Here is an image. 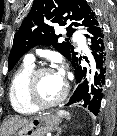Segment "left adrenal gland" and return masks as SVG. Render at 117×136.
<instances>
[{
	"mask_svg": "<svg viewBox=\"0 0 117 136\" xmlns=\"http://www.w3.org/2000/svg\"><path fill=\"white\" fill-rule=\"evenodd\" d=\"M56 130H57L56 136H60L62 133V129L58 127Z\"/></svg>",
	"mask_w": 117,
	"mask_h": 136,
	"instance_id": "1",
	"label": "left adrenal gland"
}]
</instances>
